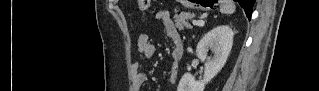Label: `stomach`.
Returning a JSON list of instances; mask_svg holds the SVG:
<instances>
[{
    "mask_svg": "<svg viewBox=\"0 0 319 91\" xmlns=\"http://www.w3.org/2000/svg\"><path fill=\"white\" fill-rule=\"evenodd\" d=\"M217 0H203V1H190L186 2V5L190 8H199L203 10H211L217 4Z\"/></svg>",
    "mask_w": 319,
    "mask_h": 91,
    "instance_id": "stomach-1",
    "label": "stomach"
}]
</instances>
